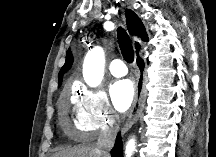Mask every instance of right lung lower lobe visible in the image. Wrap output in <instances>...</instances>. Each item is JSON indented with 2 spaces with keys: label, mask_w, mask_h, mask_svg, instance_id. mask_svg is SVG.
<instances>
[{
  "label": "right lung lower lobe",
  "mask_w": 216,
  "mask_h": 157,
  "mask_svg": "<svg viewBox=\"0 0 216 157\" xmlns=\"http://www.w3.org/2000/svg\"><path fill=\"white\" fill-rule=\"evenodd\" d=\"M122 147H123V145H122L121 135H120V133H118V135L116 137L115 145H114L113 149L111 150V156L112 157H123Z\"/></svg>",
  "instance_id": "obj_1"
}]
</instances>
